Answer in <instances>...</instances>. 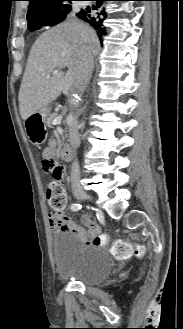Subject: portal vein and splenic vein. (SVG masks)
Returning <instances> with one entry per match:
<instances>
[{
    "mask_svg": "<svg viewBox=\"0 0 183 329\" xmlns=\"http://www.w3.org/2000/svg\"><path fill=\"white\" fill-rule=\"evenodd\" d=\"M58 70H54L52 71V73H57ZM61 120H62V116H58L56 117L53 121H52V124L53 125H57V124H60L61 123Z\"/></svg>",
    "mask_w": 183,
    "mask_h": 329,
    "instance_id": "obj_1",
    "label": "portal vein and splenic vein"
}]
</instances>
